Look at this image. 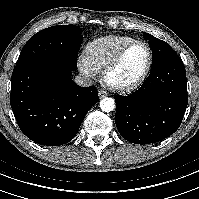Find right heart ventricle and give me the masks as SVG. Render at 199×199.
<instances>
[{
    "label": "right heart ventricle",
    "mask_w": 199,
    "mask_h": 199,
    "mask_svg": "<svg viewBox=\"0 0 199 199\" xmlns=\"http://www.w3.org/2000/svg\"><path fill=\"white\" fill-rule=\"evenodd\" d=\"M136 41L129 36L108 35L89 43L87 54L98 70H104L116 54L129 43Z\"/></svg>",
    "instance_id": "obj_1"
}]
</instances>
